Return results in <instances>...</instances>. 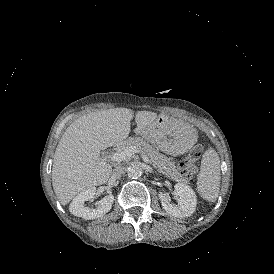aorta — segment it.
<instances>
[{"label":"aorta","instance_id":"762f6f07","mask_svg":"<svg viewBox=\"0 0 274 274\" xmlns=\"http://www.w3.org/2000/svg\"><path fill=\"white\" fill-rule=\"evenodd\" d=\"M141 174H142V169L138 165L133 164L128 167V176L129 177L136 179V178L140 177Z\"/></svg>","mask_w":274,"mask_h":274}]
</instances>
